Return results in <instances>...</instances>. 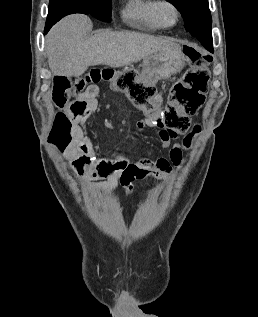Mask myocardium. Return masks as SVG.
<instances>
[{
	"instance_id": "1",
	"label": "myocardium",
	"mask_w": 258,
	"mask_h": 317,
	"mask_svg": "<svg viewBox=\"0 0 258 317\" xmlns=\"http://www.w3.org/2000/svg\"><path fill=\"white\" fill-rule=\"evenodd\" d=\"M167 7L171 8L173 11V18L170 21L165 20L161 15L162 11ZM178 16H179L178 8L173 2L168 0H162L157 3L156 10H155V18L161 27L173 26L177 22Z\"/></svg>"
}]
</instances>
